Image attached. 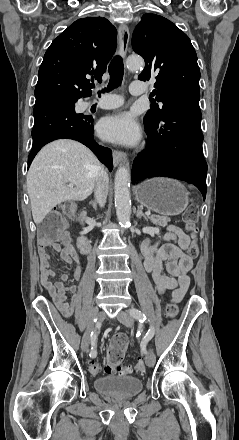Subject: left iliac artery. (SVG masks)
I'll use <instances>...</instances> for the list:
<instances>
[{"label":"left iliac artery","instance_id":"left-iliac-artery-1","mask_svg":"<svg viewBox=\"0 0 239 440\" xmlns=\"http://www.w3.org/2000/svg\"><path fill=\"white\" fill-rule=\"evenodd\" d=\"M129 313L133 318L138 320L140 323H143L146 321V316L138 309L132 308L129 310ZM154 333H155L154 327L150 326L145 337L141 341V350L143 353H147L146 352V345L153 338Z\"/></svg>","mask_w":239,"mask_h":440}]
</instances>
